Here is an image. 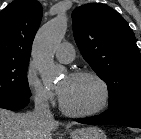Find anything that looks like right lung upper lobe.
I'll return each mask as SVG.
<instances>
[{
    "label": "right lung upper lobe",
    "instance_id": "cb5924a9",
    "mask_svg": "<svg viewBox=\"0 0 141 139\" xmlns=\"http://www.w3.org/2000/svg\"><path fill=\"white\" fill-rule=\"evenodd\" d=\"M42 18L37 0H15L0 12V60H29Z\"/></svg>",
    "mask_w": 141,
    "mask_h": 139
}]
</instances>
